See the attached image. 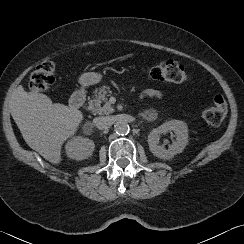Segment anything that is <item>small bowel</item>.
Wrapping results in <instances>:
<instances>
[{"label": "small bowel", "instance_id": "c3829d8e", "mask_svg": "<svg viewBox=\"0 0 244 244\" xmlns=\"http://www.w3.org/2000/svg\"><path fill=\"white\" fill-rule=\"evenodd\" d=\"M162 93L158 90L149 89L143 92L142 97L160 98Z\"/></svg>", "mask_w": 244, "mask_h": 244}]
</instances>
